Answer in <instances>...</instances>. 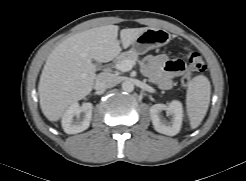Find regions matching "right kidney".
<instances>
[{
  "mask_svg": "<svg viewBox=\"0 0 246 181\" xmlns=\"http://www.w3.org/2000/svg\"><path fill=\"white\" fill-rule=\"evenodd\" d=\"M93 105L84 103L79 106L77 102L71 104L62 116V128L67 134H77L86 130L92 118ZM84 114L81 119V114Z\"/></svg>",
  "mask_w": 246,
  "mask_h": 181,
  "instance_id": "ca27d5eb",
  "label": "right kidney"
}]
</instances>
